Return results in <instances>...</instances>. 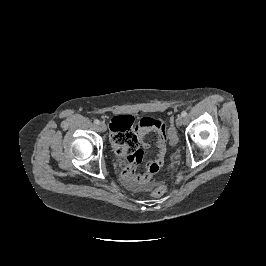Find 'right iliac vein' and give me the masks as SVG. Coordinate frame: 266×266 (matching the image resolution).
I'll return each mask as SVG.
<instances>
[{
  "label": "right iliac vein",
  "instance_id": "1",
  "mask_svg": "<svg viewBox=\"0 0 266 266\" xmlns=\"http://www.w3.org/2000/svg\"><path fill=\"white\" fill-rule=\"evenodd\" d=\"M99 128H100V130H101L102 132H105V131L107 130V126H106V124L103 123V122L99 124Z\"/></svg>",
  "mask_w": 266,
  "mask_h": 266
}]
</instances>
